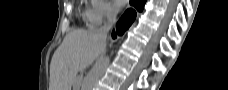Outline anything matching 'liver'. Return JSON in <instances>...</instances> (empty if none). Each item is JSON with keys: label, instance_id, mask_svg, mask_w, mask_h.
Returning <instances> with one entry per match:
<instances>
[{"label": "liver", "instance_id": "1", "mask_svg": "<svg viewBox=\"0 0 228 90\" xmlns=\"http://www.w3.org/2000/svg\"><path fill=\"white\" fill-rule=\"evenodd\" d=\"M105 47L106 38L96 31L68 33L51 60L49 90H71L78 72L91 65Z\"/></svg>", "mask_w": 228, "mask_h": 90}]
</instances>
